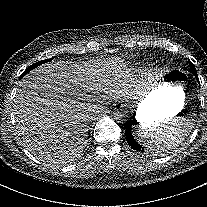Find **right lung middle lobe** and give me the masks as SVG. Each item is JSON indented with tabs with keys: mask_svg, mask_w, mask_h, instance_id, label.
I'll return each instance as SVG.
<instances>
[{
	"mask_svg": "<svg viewBox=\"0 0 207 207\" xmlns=\"http://www.w3.org/2000/svg\"><path fill=\"white\" fill-rule=\"evenodd\" d=\"M52 60H53V58H51V59H49V60L46 59V60H43V61H40V62H37V63L31 65L30 67H28V68L22 73L20 79H21L24 75H26L27 73H29L31 70H33L34 68H36V67L42 65L43 63H46V62H49V61H52Z\"/></svg>",
	"mask_w": 207,
	"mask_h": 207,
	"instance_id": "dd1d6c3e",
	"label": "right lung middle lobe"
}]
</instances>
